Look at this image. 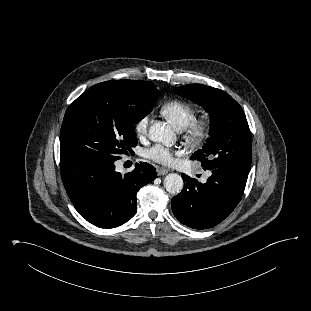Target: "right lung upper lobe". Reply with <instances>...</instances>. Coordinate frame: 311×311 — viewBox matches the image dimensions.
<instances>
[{"mask_svg":"<svg viewBox=\"0 0 311 311\" xmlns=\"http://www.w3.org/2000/svg\"><path fill=\"white\" fill-rule=\"evenodd\" d=\"M120 81L140 89H146L154 86L152 82L147 81H136V80H120Z\"/></svg>","mask_w":311,"mask_h":311,"instance_id":"1","label":"right lung upper lobe"}]
</instances>
